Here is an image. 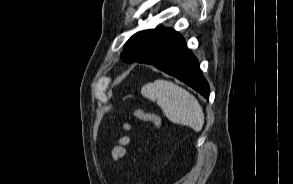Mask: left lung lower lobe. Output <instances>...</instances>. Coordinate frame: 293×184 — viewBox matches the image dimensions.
<instances>
[{
	"label": "left lung lower lobe",
	"mask_w": 293,
	"mask_h": 184,
	"mask_svg": "<svg viewBox=\"0 0 293 184\" xmlns=\"http://www.w3.org/2000/svg\"><path fill=\"white\" fill-rule=\"evenodd\" d=\"M149 58L140 63L156 68L186 83L209 100L210 88L202 75L197 58L187 49L184 38L164 28L147 42Z\"/></svg>",
	"instance_id": "left-lung-lower-lobe-1"
}]
</instances>
